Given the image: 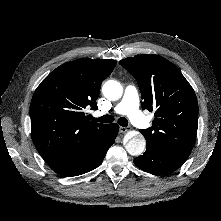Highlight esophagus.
<instances>
[{
	"instance_id": "34e87169",
	"label": "esophagus",
	"mask_w": 221,
	"mask_h": 221,
	"mask_svg": "<svg viewBox=\"0 0 221 221\" xmlns=\"http://www.w3.org/2000/svg\"><path fill=\"white\" fill-rule=\"evenodd\" d=\"M127 131H129V129L127 127L120 126V128H119L120 133H126Z\"/></svg>"
}]
</instances>
